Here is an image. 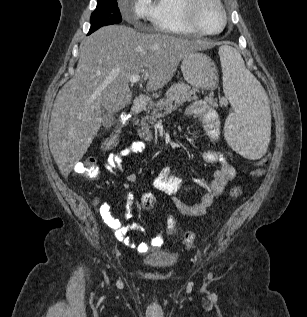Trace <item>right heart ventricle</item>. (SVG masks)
Returning <instances> with one entry per match:
<instances>
[{
  "label": "right heart ventricle",
  "mask_w": 307,
  "mask_h": 317,
  "mask_svg": "<svg viewBox=\"0 0 307 317\" xmlns=\"http://www.w3.org/2000/svg\"><path fill=\"white\" fill-rule=\"evenodd\" d=\"M184 0H157L152 19L156 31L174 34H198L185 17Z\"/></svg>",
  "instance_id": "1"
}]
</instances>
